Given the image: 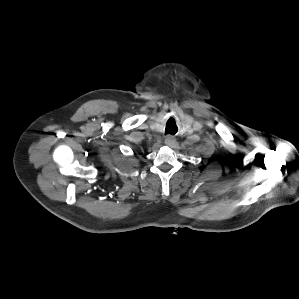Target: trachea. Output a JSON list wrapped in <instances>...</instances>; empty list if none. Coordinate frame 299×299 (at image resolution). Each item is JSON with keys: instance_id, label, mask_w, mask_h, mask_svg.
I'll return each mask as SVG.
<instances>
[{"instance_id": "trachea-1", "label": "trachea", "mask_w": 299, "mask_h": 299, "mask_svg": "<svg viewBox=\"0 0 299 299\" xmlns=\"http://www.w3.org/2000/svg\"><path fill=\"white\" fill-rule=\"evenodd\" d=\"M177 131V127L175 123H169L166 126L165 134H175Z\"/></svg>"}]
</instances>
